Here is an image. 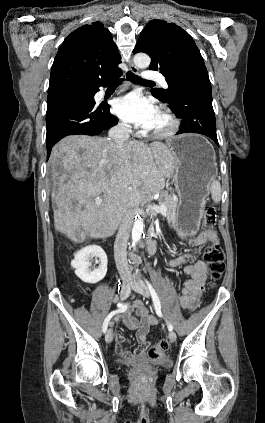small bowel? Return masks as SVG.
Returning <instances> with one entry per match:
<instances>
[{
	"label": "small bowel",
	"mask_w": 265,
	"mask_h": 423,
	"mask_svg": "<svg viewBox=\"0 0 265 423\" xmlns=\"http://www.w3.org/2000/svg\"><path fill=\"white\" fill-rule=\"evenodd\" d=\"M187 243L192 246H199L206 242L219 243L218 235L213 230H205L199 234L187 238ZM191 254L181 255L179 257L169 260V266L177 268L192 260ZM184 272L189 277L180 289L179 302L182 308L186 310H194L202 295L206 275V264L201 260H196L185 265ZM122 320L129 329L136 330V338L139 342V347L130 352L123 347L125 336L122 333H117L115 336L116 350L118 354L128 362L143 358L149 346L147 337L150 332V327L158 322L157 318L152 316L149 311L143 306L141 301H136L132 306L123 311Z\"/></svg>",
	"instance_id": "obj_1"
}]
</instances>
